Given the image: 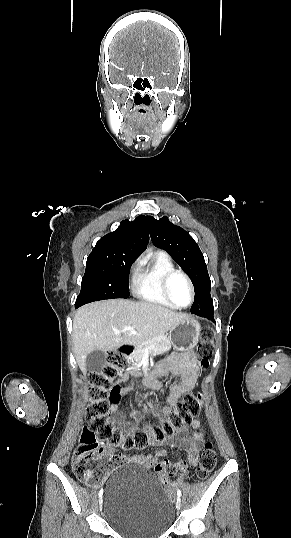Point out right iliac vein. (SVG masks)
<instances>
[{"label": "right iliac vein", "mask_w": 291, "mask_h": 538, "mask_svg": "<svg viewBox=\"0 0 291 538\" xmlns=\"http://www.w3.org/2000/svg\"><path fill=\"white\" fill-rule=\"evenodd\" d=\"M103 498H100L99 505L101 506Z\"/></svg>", "instance_id": "right-iliac-vein-1"}]
</instances>
